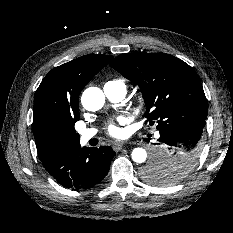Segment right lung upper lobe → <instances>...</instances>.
<instances>
[{
	"label": "right lung upper lobe",
	"mask_w": 233,
	"mask_h": 233,
	"mask_svg": "<svg viewBox=\"0 0 233 233\" xmlns=\"http://www.w3.org/2000/svg\"><path fill=\"white\" fill-rule=\"evenodd\" d=\"M113 59L110 55H85L52 69L34 98L33 134L39 155L46 150V136L79 119V95L92 77Z\"/></svg>",
	"instance_id": "1"
}]
</instances>
